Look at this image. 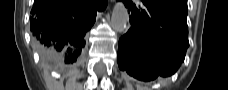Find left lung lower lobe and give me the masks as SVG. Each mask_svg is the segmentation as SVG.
<instances>
[{
  "label": "left lung lower lobe",
  "instance_id": "obj_1",
  "mask_svg": "<svg viewBox=\"0 0 228 90\" xmlns=\"http://www.w3.org/2000/svg\"><path fill=\"white\" fill-rule=\"evenodd\" d=\"M131 28L118 44L121 70L143 81L174 74L189 46L187 0H123Z\"/></svg>",
  "mask_w": 228,
  "mask_h": 90
}]
</instances>
